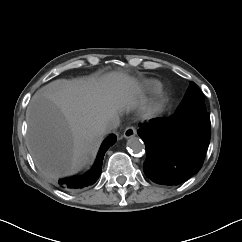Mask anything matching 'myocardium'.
Returning a JSON list of instances; mask_svg holds the SVG:
<instances>
[{
	"instance_id": "f54148a6",
	"label": "myocardium",
	"mask_w": 242,
	"mask_h": 242,
	"mask_svg": "<svg viewBox=\"0 0 242 242\" xmlns=\"http://www.w3.org/2000/svg\"><path fill=\"white\" fill-rule=\"evenodd\" d=\"M158 109L156 107H151V108H148L145 112H144V116L146 118H152L156 115Z\"/></svg>"
}]
</instances>
